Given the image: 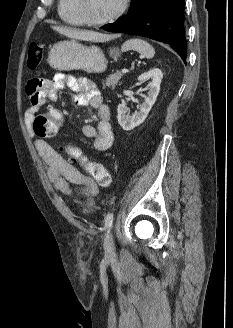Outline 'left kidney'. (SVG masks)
I'll return each mask as SVG.
<instances>
[{"mask_svg": "<svg viewBox=\"0 0 233 328\" xmlns=\"http://www.w3.org/2000/svg\"><path fill=\"white\" fill-rule=\"evenodd\" d=\"M163 77V73L158 68L150 69L149 71L141 74L138 77V81H145L148 79H152L151 83L148 85V96L145 97L144 102L140 106L138 112L130 115L129 110L125 103L118 105V123L122 127L123 130L129 131L139 126L144 120L147 118L149 111L154 105L156 98L160 91V84Z\"/></svg>", "mask_w": 233, "mask_h": 328, "instance_id": "obj_1", "label": "left kidney"}]
</instances>
